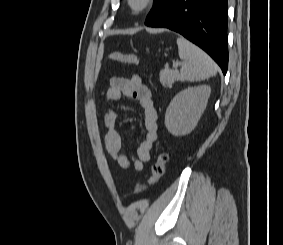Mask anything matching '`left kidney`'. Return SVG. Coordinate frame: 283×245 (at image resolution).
<instances>
[{"instance_id": "1", "label": "left kidney", "mask_w": 283, "mask_h": 245, "mask_svg": "<svg viewBox=\"0 0 283 245\" xmlns=\"http://www.w3.org/2000/svg\"><path fill=\"white\" fill-rule=\"evenodd\" d=\"M211 93L210 86L189 87L179 92L169 104L165 126L175 136L189 134L203 114Z\"/></svg>"}]
</instances>
